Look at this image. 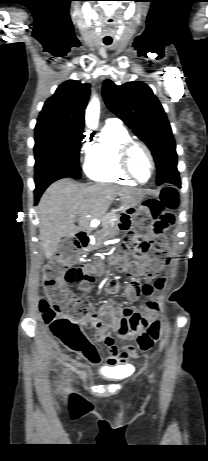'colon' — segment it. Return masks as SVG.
Listing matches in <instances>:
<instances>
[{"mask_svg": "<svg viewBox=\"0 0 208 461\" xmlns=\"http://www.w3.org/2000/svg\"><path fill=\"white\" fill-rule=\"evenodd\" d=\"M178 203V193L170 187L163 189L160 199H148L143 202L133 219L135 229L126 234L125 244L133 250L147 254L150 263L143 265L120 260V270L131 277L143 276L147 280H152L160 267L169 264L166 230L173 225L174 216L165 210L176 209ZM81 242L70 240L59 254L44 266L43 287L47 299L41 298L39 301V310L52 335L71 349H83L91 343L83 332L80 320L91 316L93 307L87 299L73 294L67 284L76 283L80 289L86 291L100 271L93 264L70 265L73 252ZM126 313L130 314L131 310H127ZM159 336V322L145 320L137 338L138 348L141 351L149 350Z\"/></svg>", "mask_w": 208, "mask_h": 461, "instance_id": "colon-1", "label": "colon"}]
</instances>
